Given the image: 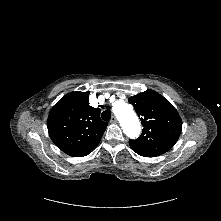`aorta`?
Returning <instances> with one entry per match:
<instances>
[{"mask_svg": "<svg viewBox=\"0 0 221 221\" xmlns=\"http://www.w3.org/2000/svg\"><path fill=\"white\" fill-rule=\"evenodd\" d=\"M112 109L123 132L130 138L137 137L140 133V122L132 106L123 100H117L113 103Z\"/></svg>", "mask_w": 221, "mask_h": 221, "instance_id": "762f6f07", "label": "aorta"}]
</instances>
